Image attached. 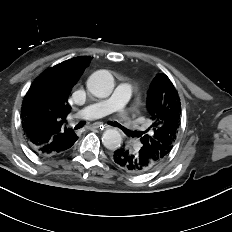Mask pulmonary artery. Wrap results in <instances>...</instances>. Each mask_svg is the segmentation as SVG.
<instances>
[{
  "instance_id": "1",
  "label": "pulmonary artery",
  "mask_w": 232,
  "mask_h": 232,
  "mask_svg": "<svg viewBox=\"0 0 232 232\" xmlns=\"http://www.w3.org/2000/svg\"><path fill=\"white\" fill-rule=\"evenodd\" d=\"M132 96V87L128 83H120L113 95L96 103H91L81 109L78 113L80 117L97 118L107 115L113 111L122 109ZM122 124L129 129H135L137 123L131 117H125Z\"/></svg>"
}]
</instances>
